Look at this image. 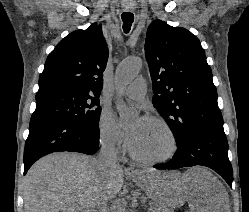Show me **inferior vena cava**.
Wrapping results in <instances>:
<instances>
[{
    "label": "inferior vena cava",
    "instance_id": "inferior-vena-cava-1",
    "mask_svg": "<svg viewBox=\"0 0 249 212\" xmlns=\"http://www.w3.org/2000/svg\"><path fill=\"white\" fill-rule=\"evenodd\" d=\"M117 154L118 152L113 142H102L100 152L97 158H94V162L98 168H118ZM103 212H109L107 204Z\"/></svg>",
    "mask_w": 249,
    "mask_h": 212
}]
</instances>
